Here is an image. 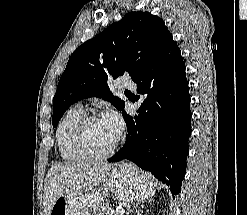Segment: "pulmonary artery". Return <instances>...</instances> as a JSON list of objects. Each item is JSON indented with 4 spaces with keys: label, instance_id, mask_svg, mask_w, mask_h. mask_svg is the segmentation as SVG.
<instances>
[{
    "label": "pulmonary artery",
    "instance_id": "1",
    "mask_svg": "<svg viewBox=\"0 0 247 215\" xmlns=\"http://www.w3.org/2000/svg\"><path fill=\"white\" fill-rule=\"evenodd\" d=\"M118 87L135 90L136 89V84L130 78L120 77L118 79Z\"/></svg>",
    "mask_w": 247,
    "mask_h": 215
}]
</instances>
